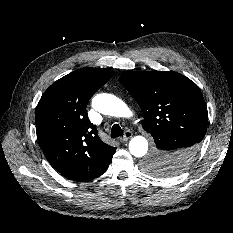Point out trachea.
I'll list each match as a JSON object with an SVG mask.
<instances>
[{
    "mask_svg": "<svg viewBox=\"0 0 233 233\" xmlns=\"http://www.w3.org/2000/svg\"><path fill=\"white\" fill-rule=\"evenodd\" d=\"M119 136H123V130L118 124H114L111 129V137L116 138Z\"/></svg>",
    "mask_w": 233,
    "mask_h": 233,
    "instance_id": "3493384b",
    "label": "trachea"
}]
</instances>
